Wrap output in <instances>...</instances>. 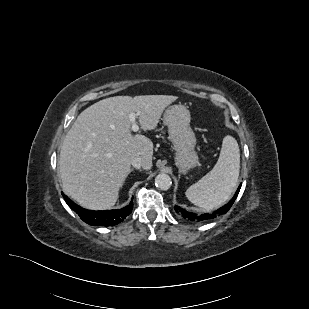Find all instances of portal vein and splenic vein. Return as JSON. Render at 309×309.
Listing matches in <instances>:
<instances>
[{
    "label": "portal vein and splenic vein",
    "mask_w": 309,
    "mask_h": 309,
    "mask_svg": "<svg viewBox=\"0 0 309 309\" xmlns=\"http://www.w3.org/2000/svg\"><path fill=\"white\" fill-rule=\"evenodd\" d=\"M136 116H137V114H135V113H131V114L129 115V119H130L131 124H132L131 129H132L134 132H137V131L139 130V126H138L137 123H136Z\"/></svg>",
    "instance_id": "18ae733b"
}]
</instances>
